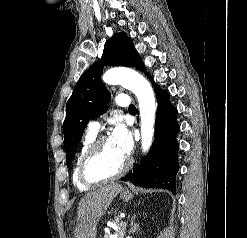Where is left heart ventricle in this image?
I'll list each match as a JSON object with an SVG mask.
<instances>
[{
	"label": "left heart ventricle",
	"mask_w": 247,
	"mask_h": 238,
	"mask_svg": "<svg viewBox=\"0 0 247 238\" xmlns=\"http://www.w3.org/2000/svg\"><path fill=\"white\" fill-rule=\"evenodd\" d=\"M126 157L122 155L111 140H107L89 167L93 176H108L118 172L124 165Z\"/></svg>",
	"instance_id": "b2bd125f"
}]
</instances>
